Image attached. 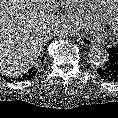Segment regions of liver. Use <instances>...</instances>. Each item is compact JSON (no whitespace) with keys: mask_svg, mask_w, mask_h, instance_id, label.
<instances>
[{"mask_svg":"<svg viewBox=\"0 0 118 118\" xmlns=\"http://www.w3.org/2000/svg\"><path fill=\"white\" fill-rule=\"evenodd\" d=\"M56 0H0V74L17 77L36 62L60 25Z\"/></svg>","mask_w":118,"mask_h":118,"instance_id":"1","label":"liver"}]
</instances>
